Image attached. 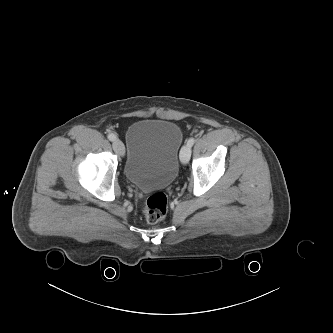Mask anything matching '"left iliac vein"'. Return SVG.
Listing matches in <instances>:
<instances>
[{
    "label": "left iliac vein",
    "mask_w": 333,
    "mask_h": 333,
    "mask_svg": "<svg viewBox=\"0 0 333 333\" xmlns=\"http://www.w3.org/2000/svg\"><path fill=\"white\" fill-rule=\"evenodd\" d=\"M191 156V147L189 145H184L180 150V161L183 164H187Z\"/></svg>",
    "instance_id": "1"
}]
</instances>
